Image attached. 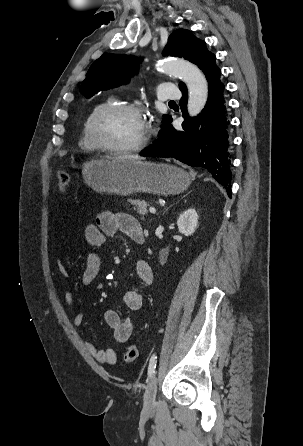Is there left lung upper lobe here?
<instances>
[{
    "mask_svg": "<svg viewBox=\"0 0 303 446\" xmlns=\"http://www.w3.org/2000/svg\"><path fill=\"white\" fill-rule=\"evenodd\" d=\"M163 55L183 57L202 69L214 54L207 50L204 41L196 38L190 31L178 29L169 36ZM136 71L137 59L134 57L104 53L91 65L79 90L84 96L92 97L103 89L128 83V78ZM179 87L182 89L186 86L181 82ZM169 119L171 116L164 115L163 125Z\"/></svg>",
    "mask_w": 303,
    "mask_h": 446,
    "instance_id": "left-lung-upper-lobe-1",
    "label": "left lung upper lobe"
}]
</instances>
